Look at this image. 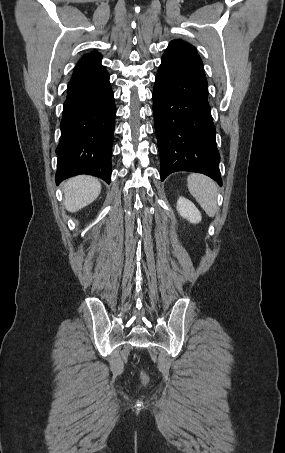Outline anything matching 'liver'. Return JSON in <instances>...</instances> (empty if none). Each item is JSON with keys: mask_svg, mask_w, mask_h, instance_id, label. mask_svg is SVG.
Instances as JSON below:
<instances>
[{"mask_svg": "<svg viewBox=\"0 0 285 453\" xmlns=\"http://www.w3.org/2000/svg\"><path fill=\"white\" fill-rule=\"evenodd\" d=\"M63 191L65 208L69 212H77L97 199L101 184L95 177L80 175L67 180Z\"/></svg>", "mask_w": 285, "mask_h": 453, "instance_id": "obj_1", "label": "liver"}]
</instances>
